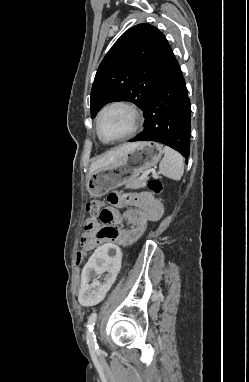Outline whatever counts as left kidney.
<instances>
[{"mask_svg": "<svg viewBox=\"0 0 249 382\" xmlns=\"http://www.w3.org/2000/svg\"><path fill=\"white\" fill-rule=\"evenodd\" d=\"M111 241H104L103 245H96V250L84 263L80 273L78 291L75 301H80L84 309L100 306L107 289L113 287L115 277L120 276L122 268V252L120 245H111Z\"/></svg>", "mask_w": 249, "mask_h": 382, "instance_id": "1", "label": "left kidney"}]
</instances>
